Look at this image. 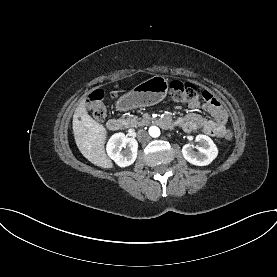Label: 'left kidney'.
<instances>
[{"label": "left kidney", "mask_w": 277, "mask_h": 277, "mask_svg": "<svg viewBox=\"0 0 277 277\" xmlns=\"http://www.w3.org/2000/svg\"><path fill=\"white\" fill-rule=\"evenodd\" d=\"M196 141L201 144V147H198V152L186 144L182 148V154L189 163L196 166H206L217 157L218 149L212 139L206 135H197Z\"/></svg>", "instance_id": "1"}]
</instances>
